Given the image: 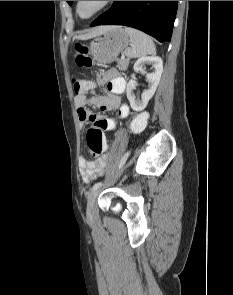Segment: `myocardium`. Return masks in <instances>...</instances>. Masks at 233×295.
<instances>
[{"mask_svg":"<svg viewBox=\"0 0 233 295\" xmlns=\"http://www.w3.org/2000/svg\"><path fill=\"white\" fill-rule=\"evenodd\" d=\"M82 2L83 1H76V5H75L76 15L82 20H89V19L95 17L96 15H98L99 13H101L102 11H104L105 9H107L114 1H101L99 6L92 13H90L87 16H82L80 14V6H81Z\"/></svg>","mask_w":233,"mask_h":295,"instance_id":"myocardium-1","label":"myocardium"}]
</instances>
